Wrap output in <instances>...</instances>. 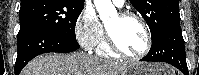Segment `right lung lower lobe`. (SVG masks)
<instances>
[{
    "label": "right lung lower lobe",
    "instance_id": "obj_1",
    "mask_svg": "<svg viewBox=\"0 0 199 75\" xmlns=\"http://www.w3.org/2000/svg\"><path fill=\"white\" fill-rule=\"evenodd\" d=\"M79 44L41 28L19 31L17 35V59L15 75L34 57L48 52L69 53L77 50Z\"/></svg>",
    "mask_w": 199,
    "mask_h": 75
}]
</instances>
